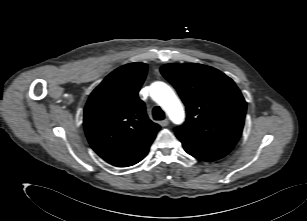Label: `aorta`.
I'll list each match as a JSON object with an SVG mask.
<instances>
[{"label":"aorta","instance_id":"aorta-1","mask_svg":"<svg viewBox=\"0 0 307 221\" xmlns=\"http://www.w3.org/2000/svg\"><path fill=\"white\" fill-rule=\"evenodd\" d=\"M152 99L158 103L175 124H181L184 120L185 113L182 103L171 89L164 82H155L150 87Z\"/></svg>","mask_w":307,"mask_h":221}]
</instances>
